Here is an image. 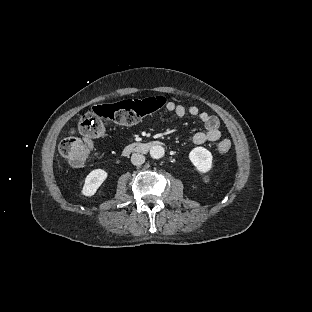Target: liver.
Wrapping results in <instances>:
<instances>
[{"label":"liver","mask_w":312,"mask_h":312,"mask_svg":"<svg viewBox=\"0 0 312 312\" xmlns=\"http://www.w3.org/2000/svg\"><path fill=\"white\" fill-rule=\"evenodd\" d=\"M55 162H56V165L59 167L60 166V158L57 154L55 155Z\"/></svg>","instance_id":"6515ba94"}]
</instances>
